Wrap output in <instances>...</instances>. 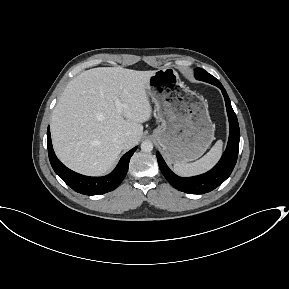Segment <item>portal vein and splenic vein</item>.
Here are the masks:
<instances>
[{
  "instance_id": "18ae733b",
  "label": "portal vein and splenic vein",
  "mask_w": 289,
  "mask_h": 289,
  "mask_svg": "<svg viewBox=\"0 0 289 289\" xmlns=\"http://www.w3.org/2000/svg\"><path fill=\"white\" fill-rule=\"evenodd\" d=\"M115 104L118 112H122L124 105L118 99H116Z\"/></svg>"
}]
</instances>
